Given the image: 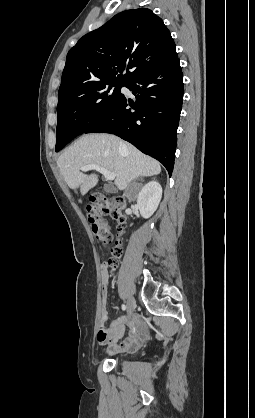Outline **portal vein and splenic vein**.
Listing matches in <instances>:
<instances>
[{"instance_id": "portal-vein-and-splenic-vein-1", "label": "portal vein and splenic vein", "mask_w": 255, "mask_h": 418, "mask_svg": "<svg viewBox=\"0 0 255 418\" xmlns=\"http://www.w3.org/2000/svg\"><path fill=\"white\" fill-rule=\"evenodd\" d=\"M80 169L82 171L96 170L100 172L107 180L115 179V174L113 172H110L107 169L96 164H88V165L82 166Z\"/></svg>"}]
</instances>
